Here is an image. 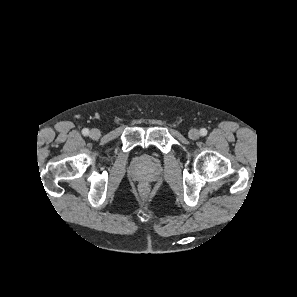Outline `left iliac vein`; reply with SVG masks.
<instances>
[{
    "label": "left iliac vein",
    "mask_w": 297,
    "mask_h": 297,
    "mask_svg": "<svg viewBox=\"0 0 297 297\" xmlns=\"http://www.w3.org/2000/svg\"><path fill=\"white\" fill-rule=\"evenodd\" d=\"M188 136L192 140H196L200 137V133L197 129L193 128L189 131Z\"/></svg>",
    "instance_id": "1"
}]
</instances>
